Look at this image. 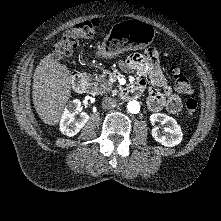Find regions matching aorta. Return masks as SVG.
<instances>
[{
	"instance_id": "aorta-1",
	"label": "aorta",
	"mask_w": 221,
	"mask_h": 221,
	"mask_svg": "<svg viewBox=\"0 0 221 221\" xmlns=\"http://www.w3.org/2000/svg\"><path fill=\"white\" fill-rule=\"evenodd\" d=\"M127 109L130 113L137 114L140 111V104L135 100L129 101L127 104Z\"/></svg>"
}]
</instances>
